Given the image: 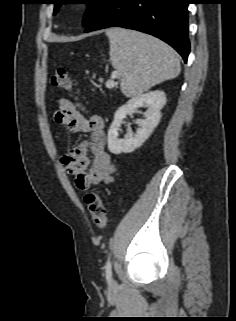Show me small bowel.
<instances>
[{"instance_id":"c3829d8e","label":"small bowel","mask_w":236,"mask_h":321,"mask_svg":"<svg viewBox=\"0 0 236 321\" xmlns=\"http://www.w3.org/2000/svg\"><path fill=\"white\" fill-rule=\"evenodd\" d=\"M59 126L72 133H89L90 139L78 143L61 158L65 170L74 176L78 190L84 191L97 184L112 182L116 166L105 149V121L98 114L87 116L84 108L68 99H61L53 114Z\"/></svg>"}]
</instances>
